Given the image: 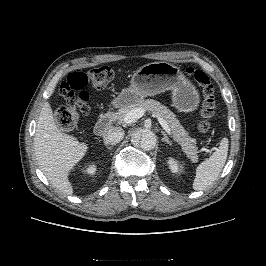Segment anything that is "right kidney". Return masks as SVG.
Instances as JSON below:
<instances>
[{
    "mask_svg": "<svg viewBox=\"0 0 266 266\" xmlns=\"http://www.w3.org/2000/svg\"><path fill=\"white\" fill-rule=\"evenodd\" d=\"M84 172L88 175H94L96 172V165L95 164H90L86 167V169L84 170Z\"/></svg>",
    "mask_w": 266,
    "mask_h": 266,
    "instance_id": "ca27d5eb",
    "label": "right kidney"
}]
</instances>
